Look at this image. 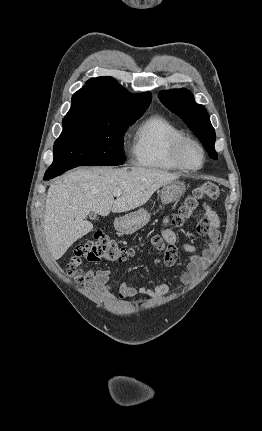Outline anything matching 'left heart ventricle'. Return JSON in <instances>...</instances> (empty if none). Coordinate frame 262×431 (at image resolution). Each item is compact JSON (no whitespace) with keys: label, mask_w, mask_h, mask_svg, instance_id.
I'll return each instance as SVG.
<instances>
[{"label":"left heart ventricle","mask_w":262,"mask_h":431,"mask_svg":"<svg viewBox=\"0 0 262 431\" xmlns=\"http://www.w3.org/2000/svg\"><path fill=\"white\" fill-rule=\"evenodd\" d=\"M184 161L190 167H197L201 163V155L194 147L189 146L184 152Z\"/></svg>","instance_id":"left-heart-ventricle-1"}]
</instances>
